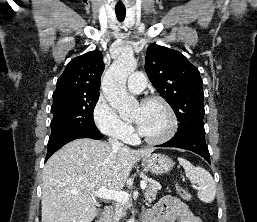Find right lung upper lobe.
I'll list each match as a JSON object with an SVG mask.
<instances>
[{
	"label": "right lung upper lobe",
	"mask_w": 257,
	"mask_h": 222,
	"mask_svg": "<svg viewBox=\"0 0 257 222\" xmlns=\"http://www.w3.org/2000/svg\"><path fill=\"white\" fill-rule=\"evenodd\" d=\"M103 55L94 50L72 59L57 80L53 102L99 96Z\"/></svg>",
	"instance_id": "cb5924a9"
}]
</instances>
